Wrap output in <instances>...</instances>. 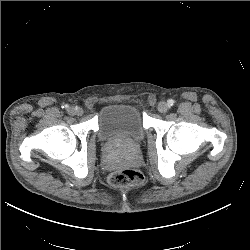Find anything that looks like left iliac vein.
Returning a JSON list of instances; mask_svg holds the SVG:
<instances>
[{"instance_id": "left-iliac-vein-1", "label": "left iliac vein", "mask_w": 250, "mask_h": 250, "mask_svg": "<svg viewBox=\"0 0 250 250\" xmlns=\"http://www.w3.org/2000/svg\"><path fill=\"white\" fill-rule=\"evenodd\" d=\"M157 108L160 113H166L169 109V105L166 102H160Z\"/></svg>"}]
</instances>
